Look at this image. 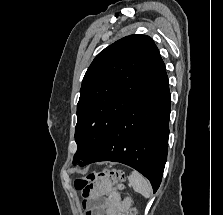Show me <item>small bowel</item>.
<instances>
[{
	"label": "small bowel",
	"instance_id": "c3829d8e",
	"mask_svg": "<svg viewBox=\"0 0 223 215\" xmlns=\"http://www.w3.org/2000/svg\"><path fill=\"white\" fill-rule=\"evenodd\" d=\"M85 196L88 207L86 215H126L131 206V200H122L108 178L95 182Z\"/></svg>",
	"mask_w": 223,
	"mask_h": 215
}]
</instances>
